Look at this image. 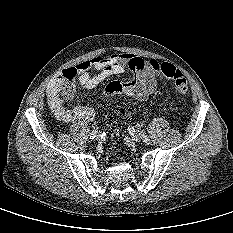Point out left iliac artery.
Returning <instances> with one entry per match:
<instances>
[{"mask_svg":"<svg viewBox=\"0 0 233 233\" xmlns=\"http://www.w3.org/2000/svg\"><path fill=\"white\" fill-rule=\"evenodd\" d=\"M141 133H142V136L144 138V142L147 143V144H149L150 143V139L147 136L144 135V132H141Z\"/></svg>","mask_w":233,"mask_h":233,"instance_id":"obj_1","label":"left iliac artery"}]
</instances>
